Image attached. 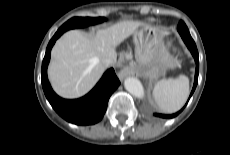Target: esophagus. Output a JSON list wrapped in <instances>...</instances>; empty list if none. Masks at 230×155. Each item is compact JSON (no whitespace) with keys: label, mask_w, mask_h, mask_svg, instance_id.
Instances as JSON below:
<instances>
[{"label":"esophagus","mask_w":230,"mask_h":155,"mask_svg":"<svg viewBox=\"0 0 230 155\" xmlns=\"http://www.w3.org/2000/svg\"><path fill=\"white\" fill-rule=\"evenodd\" d=\"M128 70L126 69H122L120 72H119V78L122 80L124 77H126L128 75Z\"/></svg>","instance_id":"obj_1"}]
</instances>
